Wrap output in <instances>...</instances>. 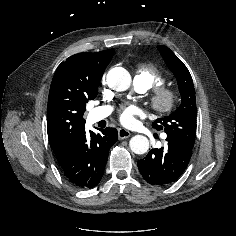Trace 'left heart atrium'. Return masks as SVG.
<instances>
[{"mask_svg":"<svg viewBox=\"0 0 236 236\" xmlns=\"http://www.w3.org/2000/svg\"><path fill=\"white\" fill-rule=\"evenodd\" d=\"M142 111L135 105L125 107L120 113V121L125 126H133L136 123V116H141Z\"/></svg>","mask_w":236,"mask_h":236,"instance_id":"39dd6f15","label":"left heart atrium"}]
</instances>
